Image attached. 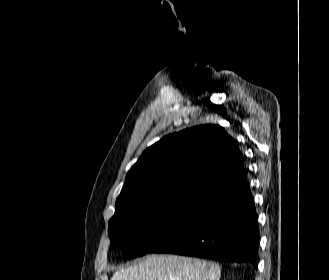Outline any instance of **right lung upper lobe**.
Wrapping results in <instances>:
<instances>
[{
    "label": "right lung upper lobe",
    "mask_w": 329,
    "mask_h": 280,
    "mask_svg": "<svg viewBox=\"0 0 329 280\" xmlns=\"http://www.w3.org/2000/svg\"><path fill=\"white\" fill-rule=\"evenodd\" d=\"M242 168L238 143L224 128L195 126L147 148L127 173L116 204L179 195L203 197L218 181Z\"/></svg>",
    "instance_id": "obj_1"
}]
</instances>
